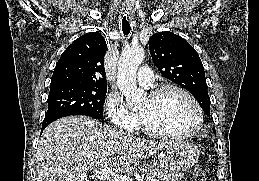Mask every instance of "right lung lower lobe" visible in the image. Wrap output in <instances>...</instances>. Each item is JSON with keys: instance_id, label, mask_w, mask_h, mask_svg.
I'll return each instance as SVG.
<instances>
[{"instance_id": "obj_1", "label": "right lung lower lobe", "mask_w": 259, "mask_h": 181, "mask_svg": "<svg viewBox=\"0 0 259 181\" xmlns=\"http://www.w3.org/2000/svg\"><path fill=\"white\" fill-rule=\"evenodd\" d=\"M48 125H49V124H43V125H42L41 133L43 132V130H44Z\"/></svg>"}]
</instances>
